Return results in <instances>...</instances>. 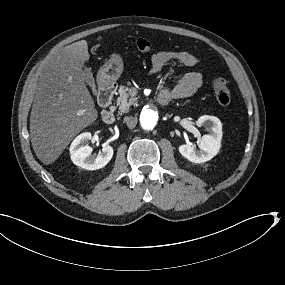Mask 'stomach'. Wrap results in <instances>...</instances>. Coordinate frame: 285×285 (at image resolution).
Here are the masks:
<instances>
[{
	"label": "stomach",
	"mask_w": 285,
	"mask_h": 285,
	"mask_svg": "<svg viewBox=\"0 0 285 285\" xmlns=\"http://www.w3.org/2000/svg\"><path fill=\"white\" fill-rule=\"evenodd\" d=\"M123 71V57L118 52H112L106 65L101 68L98 80L102 84L109 85L115 82Z\"/></svg>",
	"instance_id": "stomach-1"
}]
</instances>
